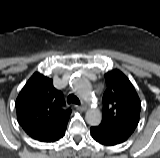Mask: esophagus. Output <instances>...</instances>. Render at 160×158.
I'll list each match as a JSON object with an SVG mask.
<instances>
[{"label": "esophagus", "instance_id": "34e87169", "mask_svg": "<svg viewBox=\"0 0 160 158\" xmlns=\"http://www.w3.org/2000/svg\"><path fill=\"white\" fill-rule=\"evenodd\" d=\"M77 110L79 111H85L87 109V106L85 103H82L81 105L75 106Z\"/></svg>", "mask_w": 160, "mask_h": 158}]
</instances>
